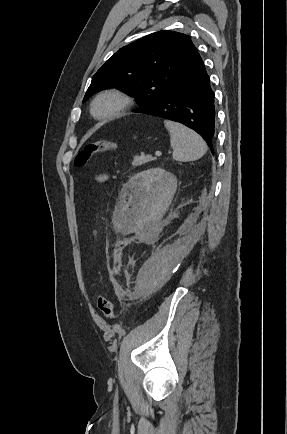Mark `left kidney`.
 Instances as JSON below:
<instances>
[{"mask_svg":"<svg viewBox=\"0 0 287 434\" xmlns=\"http://www.w3.org/2000/svg\"><path fill=\"white\" fill-rule=\"evenodd\" d=\"M176 188V177L162 168L140 172L125 186L129 196L128 203H124L125 211L129 212V205H133L135 219H146L157 208L165 210L169 206Z\"/></svg>","mask_w":287,"mask_h":434,"instance_id":"obj_1","label":"left kidney"}]
</instances>
